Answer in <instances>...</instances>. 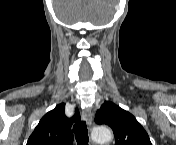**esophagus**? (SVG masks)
<instances>
[{
    "label": "esophagus",
    "instance_id": "obj_1",
    "mask_svg": "<svg viewBox=\"0 0 176 145\" xmlns=\"http://www.w3.org/2000/svg\"><path fill=\"white\" fill-rule=\"evenodd\" d=\"M82 116L86 120L87 124L91 126L92 124V113L89 109H84L82 111Z\"/></svg>",
    "mask_w": 176,
    "mask_h": 145
}]
</instances>
